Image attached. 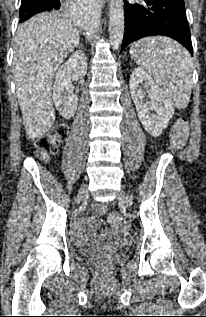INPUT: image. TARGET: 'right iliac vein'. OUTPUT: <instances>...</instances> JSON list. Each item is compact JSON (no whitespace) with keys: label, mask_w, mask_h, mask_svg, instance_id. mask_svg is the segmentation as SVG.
<instances>
[{"label":"right iliac vein","mask_w":206,"mask_h":317,"mask_svg":"<svg viewBox=\"0 0 206 317\" xmlns=\"http://www.w3.org/2000/svg\"><path fill=\"white\" fill-rule=\"evenodd\" d=\"M88 197V189L86 185H83L78 193L77 203L79 204L81 201L85 200Z\"/></svg>","instance_id":"right-iliac-vein-1"}]
</instances>
